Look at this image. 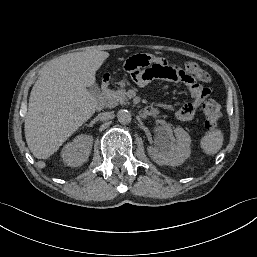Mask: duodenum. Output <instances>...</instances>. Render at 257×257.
Instances as JSON below:
<instances>
[{"mask_svg":"<svg viewBox=\"0 0 257 257\" xmlns=\"http://www.w3.org/2000/svg\"><path fill=\"white\" fill-rule=\"evenodd\" d=\"M109 89V80L108 78L104 80V82L102 83V92L99 96V98L96 101V110L97 111H102L104 108V103H105V97H106V93ZM144 115L146 116H156L157 114V110L153 107V106H148L143 110Z\"/></svg>","mask_w":257,"mask_h":257,"instance_id":"1","label":"duodenum"}]
</instances>
